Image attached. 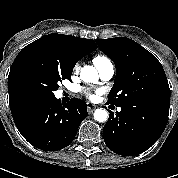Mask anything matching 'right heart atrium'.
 I'll return each instance as SVG.
<instances>
[{
  "instance_id": "d8ad5b80",
  "label": "right heart atrium",
  "mask_w": 178,
  "mask_h": 178,
  "mask_svg": "<svg viewBox=\"0 0 178 178\" xmlns=\"http://www.w3.org/2000/svg\"><path fill=\"white\" fill-rule=\"evenodd\" d=\"M78 70H79V65L77 64V65H75V67H74V69H73V72H74V73H77Z\"/></svg>"
}]
</instances>
